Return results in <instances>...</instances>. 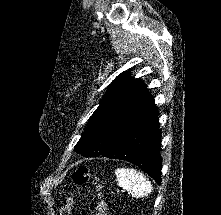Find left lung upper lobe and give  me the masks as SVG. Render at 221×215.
I'll return each mask as SVG.
<instances>
[{
    "label": "left lung upper lobe",
    "mask_w": 221,
    "mask_h": 215,
    "mask_svg": "<svg viewBox=\"0 0 221 215\" xmlns=\"http://www.w3.org/2000/svg\"><path fill=\"white\" fill-rule=\"evenodd\" d=\"M146 91L139 79L130 77L127 71L121 73L112 82L100 105L90 117L74 150L84 156L102 155L115 126Z\"/></svg>",
    "instance_id": "1"
}]
</instances>
